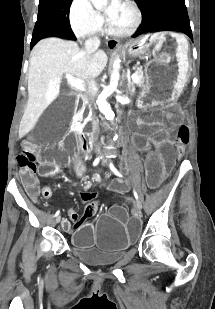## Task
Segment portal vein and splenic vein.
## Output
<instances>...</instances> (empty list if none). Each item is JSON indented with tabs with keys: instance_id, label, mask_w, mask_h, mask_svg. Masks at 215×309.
I'll return each mask as SVG.
<instances>
[{
	"instance_id": "1",
	"label": "portal vein and splenic vein",
	"mask_w": 215,
	"mask_h": 309,
	"mask_svg": "<svg viewBox=\"0 0 215 309\" xmlns=\"http://www.w3.org/2000/svg\"><path fill=\"white\" fill-rule=\"evenodd\" d=\"M67 76H69L68 80L72 86L79 88V90H85L80 78H75V76H71V74H67ZM130 78H132L133 82H137V80H139L137 74H131Z\"/></svg>"
}]
</instances>
